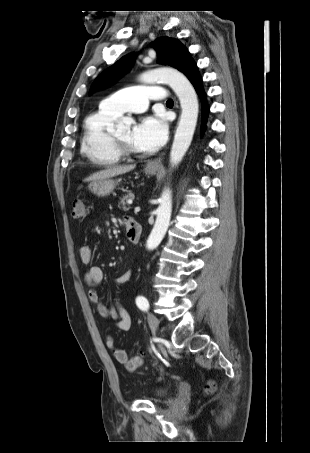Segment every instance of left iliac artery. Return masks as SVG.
<instances>
[{"mask_svg": "<svg viewBox=\"0 0 310 453\" xmlns=\"http://www.w3.org/2000/svg\"><path fill=\"white\" fill-rule=\"evenodd\" d=\"M136 304L142 311H147L149 309V302L143 296H138L136 298Z\"/></svg>", "mask_w": 310, "mask_h": 453, "instance_id": "obj_1", "label": "left iliac artery"}]
</instances>
